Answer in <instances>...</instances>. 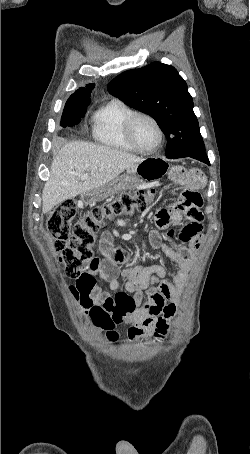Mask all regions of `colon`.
Returning a JSON list of instances; mask_svg holds the SVG:
<instances>
[{"label": "colon", "instance_id": "obj_1", "mask_svg": "<svg viewBox=\"0 0 250 454\" xmlns=\"http://www.w3.org/2000/svg\"><path fill=\"white\" fill-rule=\"evenodd\" d=\"M156 198L153 189L135 193H121L111 201L94 207L84 213L73 225L77 208L72 199L57 204L50 212L47 229L53 237L59 263L69 278L79 277L88 264L95 258L97 233L107 221L120 215H129L145 210ZM72 294L78 297L76 286H71ZM93 323L106 331L111 340L117 338L114 331L119 321L102 306L95 305L89 310Z\"/></svg>", "mask_w": 250, "mask_h": 454}]
</instances>
